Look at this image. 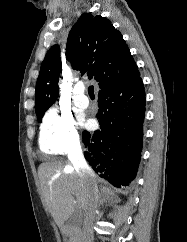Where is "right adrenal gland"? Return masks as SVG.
I'll return each instance as SVG.
<instances>
[{
    "mask_svg": "<svg viewBox=\"0 0 187 242\" xmlns=\"http://www.w3.org/2000/svg\"><path fill=\"white\" fill-rule=\"evenodd\" d=\"M109 200V196H107L105 193L99 194V206H103V204L107 203Z\"/></svg>",
    "mask_w": 187,
    "mask_h": 242,
    "instance_id": "2a0ac1e0",
    "label": "right adrenal gland"
}]
</instances>
